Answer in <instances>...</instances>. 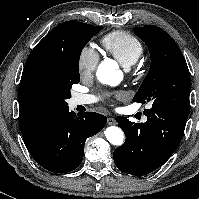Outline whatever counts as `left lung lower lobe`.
<instances>
[{
    "mask_svg": "<svg viewBox=\"0 0 199 199\" xmlns=\"http://www.w3.org/2000/svg\"><path fill=\"white\" fill-rule=\"evenodd\" d=\"M145 115V123L116 117L126 141L115 149L113 158L124 173L142 176L161 167L177 149L188 118V115L165 108L148 109Z\"/></svg>",
    "mask_w": 199,
    "mask_h": 199,
    "instance_id": "obj_1",
    "label": "left lung lower lobe"
}]
</instances>
